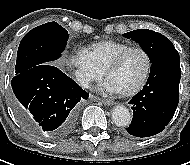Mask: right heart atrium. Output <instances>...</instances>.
Returning <instances> with one entry per match:
<instances>
[{"label":"right heart atrium","instance_id":"d8ad5b80","mask_svg":"<svg viewBox=\"0 0 190 165\" xmlns=\"http://www.w3.org/2000/svg\"><path fill=\"white\" fill-rule=\"evenodd\" d=\"M69 63L76 79L83 87L89 88L103 77V71L98 68L90 52L84 47H79L71 53Z\"/></svg>","mask_w":190,"mask_h":165}]
</instances>
